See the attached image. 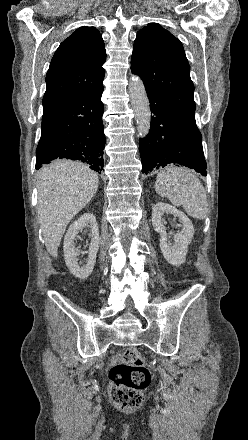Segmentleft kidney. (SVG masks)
<instances>
[{"mask_svg":"<svg viewBox=\"0 0 248 440\" xmlns=\"http://www.w3.org/2000/svg\"><path fill=\"white\" fill-rule=\"evenodd\" d=\"M164 214H172L181 222L182 230L173 235L174 244L168 239L165 226L162 222ZM152 225L156 232L160 233V249L164 258L172 265H181L186 260L188 245L191 243L194 228L191 220L182 211L175 207L159 202L152 209Z\"/></svg>","mask_w":248,"mask_h":440,"instance_id":"5707ae66","label":"left kidney"}]
</instances>
